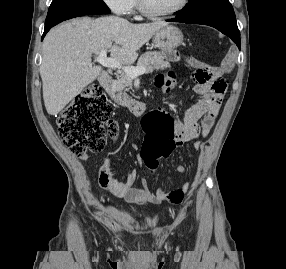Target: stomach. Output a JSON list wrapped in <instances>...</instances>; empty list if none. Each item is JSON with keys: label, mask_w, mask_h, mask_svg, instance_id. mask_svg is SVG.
<instances>
[{"label": "stomach", "mask_w": 286, "mask_h": 269, "mask_svg": "<svg viewBox=\"0 0 286 269\" xmlns=\"http://www.w3.org/2000/svg\"><path fill=\"white\" fill-rule=\"evenodd\" d=\"M182 42L183 34L171 25L161 28L153 36V43L159 49H176Z\"/></svg>", "instance_id": "1"}]
</instances>
